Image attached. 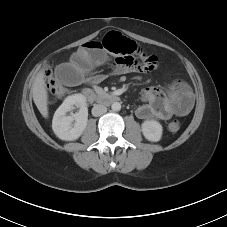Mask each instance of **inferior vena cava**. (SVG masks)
Wrapping results in <instances>:
<instances>
[{
	"label": "inferior vena cava",
	"instance_id": "obj_1",
	"mask_svg": "<svg viewBox=\"0 0 227 227\" xmlns=\"http://www.w3.org/2000/svg\"><path fill=\"white\" fill-rule=\"evenodd\" d=\"M107 112V108L104 105L96 104L92 108V115L95 117L101 116Z\"/></svg>",
	"mask_w": 227,
	"mask_h": 227
}]
</instances>
